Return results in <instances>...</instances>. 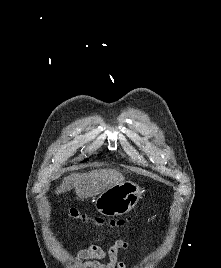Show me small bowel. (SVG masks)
<instances>
[{
	"label": "small bowel",
	"mask_w": 221,
	"mask_h": 268,
	"mask_svg": "<svg viewBox=\"0 0 221 268\" xmlns=\"http://www.w3.org/2000/svg\"><path fill=\"white\" fill-rule=\"evenodd\" d=\"M121 250L129 251L130 244L123 239H115L108 248L92 244L78 250L75 260L84 268H127L125 261L118 258ZM104 259L107 261L103 262Z\"/></svg>",
	"instance_id": "obj_1"
}]
</instances>
